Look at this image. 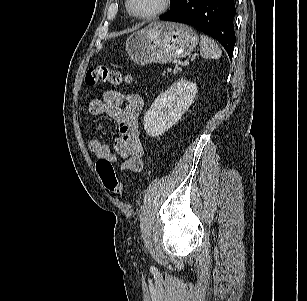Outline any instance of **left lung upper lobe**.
Listing matches in <instances>:
<instances>
[{
    "label": "left lung upper lobe",
    "mask_w": 307,
    "mask_h": 301,
    "mask_svg": "<svg viewBox=\"0 0 307 301\" xmlns=\"http://www.w3.org/2000/svg\"><path fill=\"white\" fill-rule=\"evenodd\" d=\"M181 0H171V9L170 11L174 10L175 7L178 5V3L180 2Z\"/></svg>",
    "instance_id": "5c2ea615"
}]
</instances>
